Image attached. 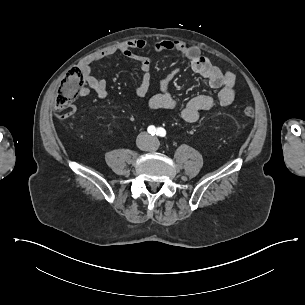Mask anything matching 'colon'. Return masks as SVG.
I'll return each instance as SVG.
<instances>
[{"mask_svg": "<svg viewBox=\"0 0 305 305\" xmlns=\"http://www.w3.org/2000/svg\"><path fill=\"white\" fill-rule=\"evenodd\" d=\"M84 81V72L79 67H69L64 72L63 77L58 83V95L54 100L56 109H64L71 107L76 102L77 90ZM245 117H252L254 110L251 107H246L243 110Z\"/></svg>", "mask_w": 305, "mask_h": 305, "instance_id": "colon-1", "label": "colon"}]
</instances>
